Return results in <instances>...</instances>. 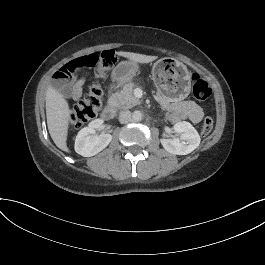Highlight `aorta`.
Instances as JSON below:
<instances>
[{"label":"aorta","instance_id":"obj_1","mask_svg":"<svg viewBox=\"0 0 265 265\" xmlns=\"http://www.w3.org/2000/svg\"><path fill=\"white\" fill-rule=\"evenodd\" d=\"M142 117H143V115H142V113H141L140 111H134V112L132 113V119H133L134 121H136V122L141 121V120H142Z\"/></svg>","mask_w":265,"mask_h":265}]
</instances>
